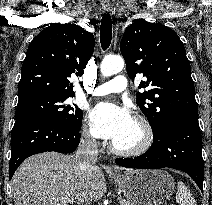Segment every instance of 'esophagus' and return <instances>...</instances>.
Returning <instances> with one entry per match:
<instances>
[{"label": "esophagus", "mask_w": 212, "mask_h": 205, "mask_svg": "<svg viewBox=\"0 0 212 205\" xmlns=\"http://www.w3.org/2000/svg\"><path fill=\"white\" fill-rule=\"evenodd\" d=\"M102 9H103L104 12H111L112 11V5L109 4V3H104L102 5Z\"/></svg>", "instance_id": "1"}]
</instances>
